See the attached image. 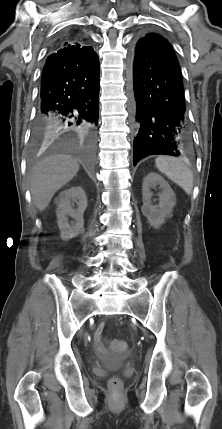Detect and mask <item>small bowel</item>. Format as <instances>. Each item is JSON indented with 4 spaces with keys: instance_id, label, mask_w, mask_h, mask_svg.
<instances>
[{
    "instance_id": "c3829d8e",
    "label": "small bowel",
    "mask_w": 222,
    "mask_h": 429,
    "mask_svg": "<svg viewBox=\"0 0 222 429\" xmlns=\"http://www.w3.org/2000/svg\"><path fill=\"white\" fill-rule=\"evenodd\" d=\"M103 326L100 325L95 334V347L98 354L102 357H108L109 352L108 349L101 343V333Z\"/></svg>"
}]
</instances>
